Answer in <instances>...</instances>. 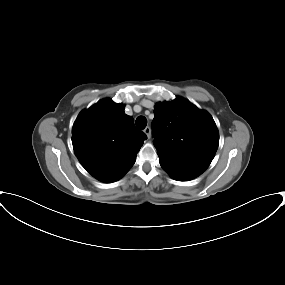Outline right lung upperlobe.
Instances as JSON below:
<instances>
[{
  "instance_id": "1",
  "label": "right lung upper lobe",
  "mask_w": 285,
  "mask_h": 285,
  "mask_svg": "<svg viewBox=\"0 0 285 285\" xmlns=\"http://www.w3.org/2000/svg\"><path fill=\"white\" fill-rule=\"evenodd\" d=\"M125 105L103 99L74 122L72 144L82 166L96 179L114 182L134 165L147 136L134 125Z\"/></svg>"
}]
</instances>
